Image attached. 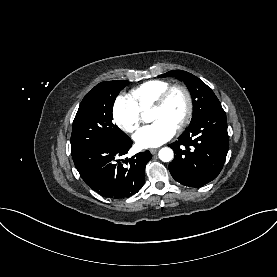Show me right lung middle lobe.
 <instances>
[{
    "label": "right lung middle lobe",
    "mask_w": 277,
    "mask_h": 277,
    "mask_svg": "<svg viewBox=\"0 0 277 277\" xmlns=\"http://www.w3.org/2000/svg\"><path fill=\"white\" fill-rule=\"evenodd\" d=\"M129 83L127 80L102 82L86 94L73 121L71 154L98 142H122L128 138L113 124L112 109L119 92Z\"/></svg>",
    "instance_id": "1"
}]
</instances>
